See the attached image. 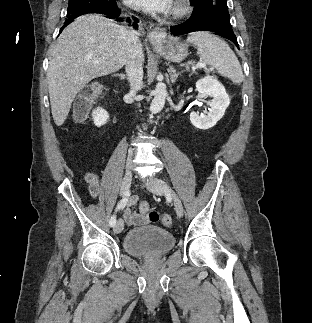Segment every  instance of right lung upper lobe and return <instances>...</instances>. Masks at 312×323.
<instances>
[{
	"mask_svg": "<svg viewBox=\"0 0 312 323\" xmlns=\"http://www.w3.org/2000/svg\"><path fill=\"white\" fill-rule=\"evenodd\" d=\"M86 10H89V9H86ZM84 10H82V11H78V12H76V13H81V12H83Z\"/></svg>",
	"mask_w": 312,
	"mask_h": 323,
	"instance_id": "obj_1",
	"label": "right lung upper lobe"
}]
</instances>
